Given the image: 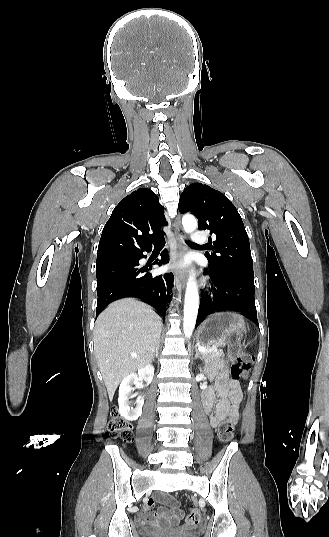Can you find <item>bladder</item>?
I'll use <instances>...</instances> for the list:
<instances>
[{"label": "bladder", "instance_id": "obj_1", "mask_svg": "<svg viewBox=\"0 0 329 537\" xmlns=\"http://www.w3.org/2000/svg\"><path fill=\"white\" fill-rule=\"evenodd\" d=\"M193 531H194L193 528H185V529H183V532H185V533H192ZM152 537H154V536H152Z\"/></svg>", "mask_w": 329, "mask_h": 537}]
</instances>
